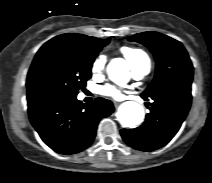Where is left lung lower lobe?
Masks as SVG:
<instances>
[{
    "instance_id": "0a47b994",
    "label": "left lung lower lobe",
    "mask_w": 212,
    "mask_h": 183,
    "mask_svg": "<svg viewBox=\"0 0 212 183\" xmlns=\"http://www.w3.org/2000/svg\"><path fill=\"white\" fill-rule=\"evenodd\" d=\"M146 101L148 97L141 95ZM150 113L135 129H122L123 140L132 148L153 151L166 145L177 133L191 106V86L170 88L152 94Z\"/></svg>"
}]
</instances>
